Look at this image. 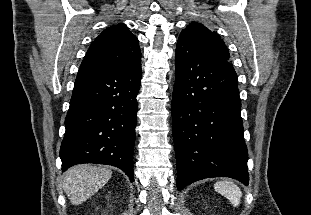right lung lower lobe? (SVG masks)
<instances>
[{
    "label": "right lung lower lobe",
    "mask_w": 311,
    "mask_h": 215,
    "mask_svg": "<svg viewBox=\"0 0 311 215\" xmlns=\"http://www.w3.org/2000/svg\"><path fill=\"white\" fill-rule=\"evenodd\" d=\"M141 77V63L132 69H79L60 148L62 171L81 163L106 164L133 181Z\"/></svg>",
    "instance_id": "98d812e1"
}]
</instances>
